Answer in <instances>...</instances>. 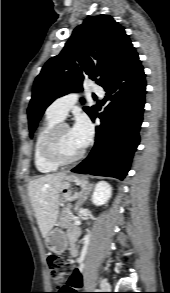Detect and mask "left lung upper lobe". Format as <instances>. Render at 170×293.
<instances>
[{
	"instance_id": "left-lung-upper-lobe-1",
	"label": "left lung upper lobe",
	"mask_w": 170,
	"mask_h": 293,
	"mask_svg": "<svg viewBox=\"0 0 170 293\" xmlns=\"http://www.w3.org/2000/svg\"><path fill=\"white\" fill-rule=\"evenodd\" d=\"M132 47L129 36L111 16H91L76 27L69 41L35 79L28 108L30 136L45 109L58 97L83 90L85 78L102 86ZM92 118L95 106L84 107Z\"/></svg>"
}]
</instances>
